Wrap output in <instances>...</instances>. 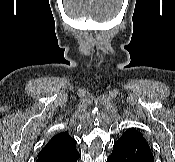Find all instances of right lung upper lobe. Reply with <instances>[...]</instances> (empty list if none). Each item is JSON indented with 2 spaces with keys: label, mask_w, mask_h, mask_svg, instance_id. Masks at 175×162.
<instances>
[{
  "label": "right lung upper lobe",
  "mask_w": 175,
  "mask_h": 162,
  "mask_svg": "<svg viewBox=\"0 0 175 162\" xmlns=\"http://www.w3.org/2000/svg\"><path fill=\"white\" fill-rule=\"evenodd\" d=\"M76 141L67 132L59 133L51 138L39 155L58 151H69L75 149Z\"/></svg>",
  "instance_id": "1"
}]
</instances>
